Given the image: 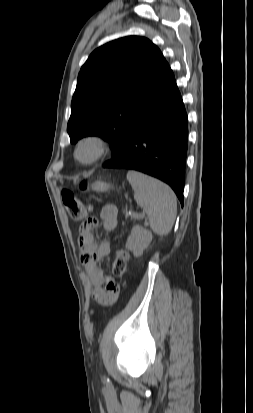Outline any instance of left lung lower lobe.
Returning a JSON list of instances; mask_svg holds the SVG:
<instances>
[{
	"label": "left lung lower lobe",
	"instance_id": "obj_1",
	"mask_svg": "<svg viewBox=\"0 0 253 413\" xmlns=\"http://www.w3.org/2000/svg\"><path fill=\"white\" fill-rule=\"evenodd\" d=\"M188 119L175 77L167 69L127 123L118 155L104 168L141 171L171 186L183 206Z\"/></svg>",
	"mask_w": 253,
	"mask_h": 413
}]
</instances>
